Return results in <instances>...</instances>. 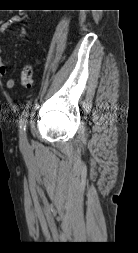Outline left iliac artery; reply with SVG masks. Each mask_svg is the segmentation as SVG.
Returning a JSON list of instances; mask_svg holds the SVG:
<instances>
[{
    "label": "left iliac artery",
    "mask_w": 138,
    "mask_h": 253,
    "mask_svg": "<svg viewBox=\"0 0 138 253\" xmlns=\"http://www.w3.org/2000/svg\"><path fill=\"white\" fill-rule=\"evenodd\" d=\"M29 104H30V101L28 102V104L26 105V108L22 112V116H21V119L19 121V131H20L21 141L26 140V127H27V122H28L27 118L29 116V110H28Z\"/></svg>",
    "instance_id": "44dca946"
}]
</instances>
